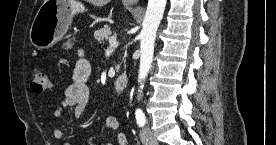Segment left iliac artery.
<instances>
[{
    "label": "left iliac artery",
    "instance_id": "44dca946",
    "mask_svg": "<svg viewBox=\"0 0 276 145\" xmlns=\"http://www.w3.org/2000/svg\"><path fill=\"white\" fill-rule=\"evenodd\" d=\"M135 117H136L137 125L139 127H143L147 123L145 114L143 113V111L140 108L136 109Z\"/></svg>",
    "mask_w": 276,
    "mask_h": 145
}]
</instances>
